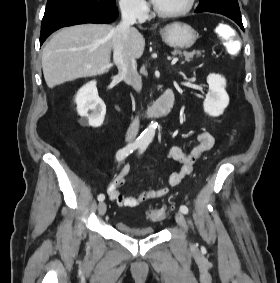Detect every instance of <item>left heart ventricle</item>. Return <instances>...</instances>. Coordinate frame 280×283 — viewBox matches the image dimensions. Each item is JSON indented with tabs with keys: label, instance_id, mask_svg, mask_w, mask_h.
Instances as JSON below:
<instances>
[{
	"label": "left heart ventricle",
	"instance_id": "left-heart-ventricle-1",
	"mask_svg": "<svg viewBox=\"0 0 280 283\" xmlns=\"http://www.w3.org/2000/svg\"><path fill=\"white\" fill-rule=\"evenodd\" d=\"M187 0H157L155 7L161 12H173L183 8Z\"/></svg>",
	"mask_w": 280,
	"mask_h": 283
}]
</instances>
